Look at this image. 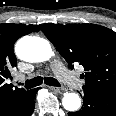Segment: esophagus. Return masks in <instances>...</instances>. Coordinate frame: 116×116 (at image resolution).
I'll return each mask as SVG.
<instances>
[{"label": "esophagus", "instance_id": "1", "mask_svg": "<svg viewBox=\"0 0 116 116\" xmlns=\"http://www.w3.org/2000/svg\"><path fill=\"white\" fill-rule=\"evenodd\" d=\"M49 88L52 89L53 91H55L56 93H59V94H63L67 91L66 88H60V87L50 86Z\"/></svg>", "mask_w": 116, "mask_h": 116}]
</instances>
